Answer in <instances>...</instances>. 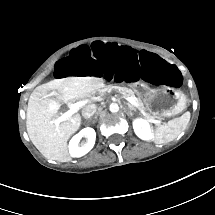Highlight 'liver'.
Here are the masks:
<instances>
[{"label":"liver","instance_id":"liver-1","mask_svg":"<svg viewBox=\"0 0 215 215\" xmlns=\"http://www.w3.org/2000/svg\"><path fill=\"white\" fill-rule=\"evenodd\" d=\"M102 83V78L73 76L53 79L36 87L30 94L26 117L27 133L35 147L47 158L69 162L67 139L81 124L80 114L55 125L53 119L60 108V101L77 100L93 94ZM49 90H56V99L48 97Z\"/></svg>","mask_w":215,"mask_h":215}]
</instances>
